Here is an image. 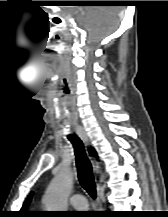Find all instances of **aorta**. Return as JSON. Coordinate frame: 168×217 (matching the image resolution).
<instances>
[{"label": "aorta", "instance_id": "1", "mask_svg": "<svg viewBox=\"0 0 168 217\" xmlns=\"http://www.w3.org/2000/svg\"><path fill=\"white\" fill-rule=\"evenodd\" d=\"M72 186V173L66 169L61 170L46 190L43 202L47 211H66Z\"/></svg>", "mask_w": 168, "mask_h": 217}]
</instances>
